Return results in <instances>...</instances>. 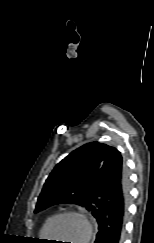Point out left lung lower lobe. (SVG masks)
Returning a JSON list of instances; mask_svg holds the SVG:
<instances>
[{
    "label": "left lung lower lobe",
    "mask_w": 154,
    "mask_h": 243,
    "mask_svg": "<svg viewBox=\"0 0 154 243\" xmlns=\"http://www.w3.org/2000/svg\"><path fill=\"white\" fill-rule=\"evenodd\" d=\"M98 233L94 243H123L129 199V177L118 150L106 156L92 187Z\"/></svg>",
    "instance_id": "left-lung-lower-lobe-1"
}]
</instances>
